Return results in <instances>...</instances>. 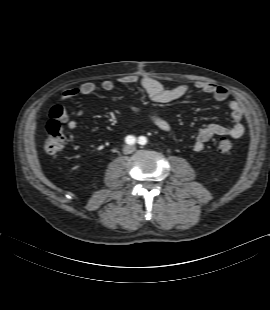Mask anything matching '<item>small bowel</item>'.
<instances>
[{
	"label": "small bowel",
	"instance_id": "c3829d8e",
	"mask_svg": "<svg viewBox=\"0 0 270 310\" xmlns=\"http://www.w3.org/2000/svg\"><path fill=\"white\" fill-rule=\"evenodd\" d=\"M119 82L126 85L139 84L148 98L156 103L166 104L185 98L190 88L186 84H180L173 88H166L158 80L149 76H134L128 75L119 78ZM115 83L112 80H104L101 83V88L105 91H110L114 88ZM195 88L205 94L210 95L213 99L219 102L227 101L230 97L229 90L221 85H217L210 82L199 81L196 82ZM97 90L96 85L93 82H84L78 87L66 89L61 96L60 107L62 108V114L60 120L66 124L71 130L77 128L78 123L72 119L67 112L64 103L70 99L77 97L78 95H91ZM228 108L230 111V117L232 119V126L227 127L221 124H209L202 127L195 138L193 143V149L195 151H201L204 148L205 143L217 136H230L238 139L243 136L245 128L242 124L244 117V109L241 103L237 100H229ZM132 114L135 116L145 115L159 130L169 133L172 131L171 123L160 113L155 111H143L136 104L130 106ZM79 116L83 115L82 108L77 110Z\"/></svg>",
	"mask_w": 270,
	"mask_h": 310
}]
</instances>
